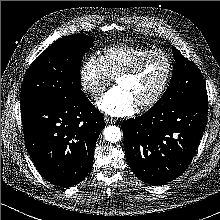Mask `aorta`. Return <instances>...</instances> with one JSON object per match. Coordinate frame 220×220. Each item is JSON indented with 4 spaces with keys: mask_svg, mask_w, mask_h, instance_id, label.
<instances>
[{
    "mask_svg": "<svg viewBox=\"0 0 220 220\" xmlns=\"http://www.w3.org/2000/svg\"><path fill=\"white\" fill-rule=\"evenodd\" d=\"M103 133L105 139L110 143H116L121 139V131L117 126H107Z\"/></svg>",
    "mask_w": 220,
    "mask_h": 220,
    "instance_id": "aorta-1",
    "label": "aorta"
}]
</instances>
